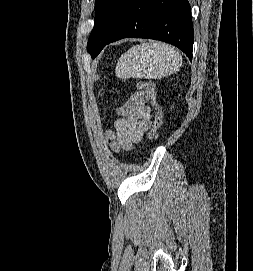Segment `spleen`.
<instances>
[{"label":"spleen","mask_w":253,"mask_h":271,"mask_svg":"<svg viewBox=\"0 0 253 271\" xmlns=\"http://www.w3.org/2000/svg\"><path fill=\"white\" fill-rule=\"evenodd\" d=\"M182 56L174 47L161 42L142 43L121 55L116 65L118 78L161 79L177 72Z\"/></svg>","instance_id":"spleen-1"}]
</instances>
